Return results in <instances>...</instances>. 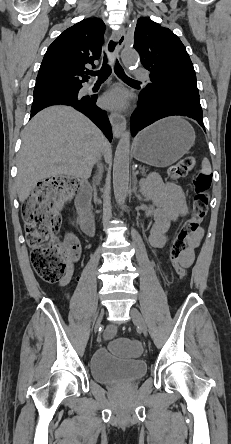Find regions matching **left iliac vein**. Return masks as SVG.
Listing matches in <instances>:
<instances>
[{
  "label": "left iliac vein",
  "instance_id": "obj_1",
  "mask_svg": "<svg viewBox=\"0 0 231 444\" xmlns=\"http://www.w3.org/2000/svg\"><path fill=\"white\" fill-rule=\"evenodd\" d=\"M130 314L133 320V323L140 328L144 335H147V325L141 313L136 308H131Z\"/></svg>",
  "mask_w": 231,
  "mask_h": 444
}]
</instances>
